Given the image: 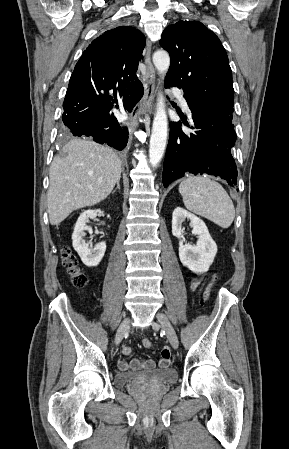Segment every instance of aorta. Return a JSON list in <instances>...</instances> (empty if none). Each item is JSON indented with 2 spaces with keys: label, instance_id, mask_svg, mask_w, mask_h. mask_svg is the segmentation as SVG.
<instances>
[{
  "label": "aorta",
  "instance_id": "762f6f07",
  "mask_svg": "<svg viewBox=\"0 0 289 449\" xmlns=\"http://www.w3.org/2000/svg\"><path fill=\"white\" fill-rule=\"evenodd\" d=\"M153 63L158 74L165 76L169 66L170 57L164 50H158L153 54ZM168 120L165 110V100L160 93L157 100V110L153 120L152 133L149 146V161L152 167L160 163L167 143Z\"/></svg>",
  "mask_w": 289,
  "mask_h": 449
}]
</instances>
